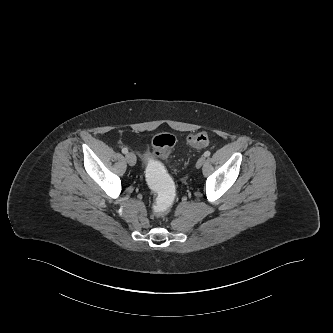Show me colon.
Here are the masks:
<instances>
[{"instance_id":"obj_1","label":"colon","mask_w":333,"mask_h":333,"mask_svg":"<svg viewBox=\"0 0 333 333\" xmlns=\"http://www.w3.org/2000/svg\"><path fill=\"white\" fill-rule=\"evenodd\" d=\"M188 143L195 148H203L208 144V136L204 132H196L188 136ZM176 143L172 134L161 133L152 139L151 148H146L141 153L146 170L145 181L157 193L155 211L157 215H164L171 207L175 198L174 179L168 171L164 159L171 154Z\"/></svg>"}]
</instances>
